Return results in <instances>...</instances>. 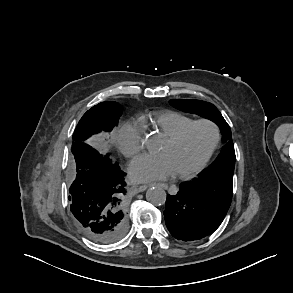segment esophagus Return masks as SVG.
I'll return each mask as SVG.
<instances>
[{
    "mask_svg": "<svg viewBox=\"0 0 293 293\" xmlns=\"http://www.w3.org/2000/svg\"><path fill=\"white\" fill-rule=\"evenodd\" d=\"M154 185H157V186H160L162 187L163 189H167L168 188V185L167 184H164V183H159V184H154ZM149 186L151 185H141L137 188V192H143L145 191Z\"/></svg>",
    "mask_w": 293,
    "mask_h": 293,
    "instance_id": "1",
    "label": "esophagus"
}]
</instances>
